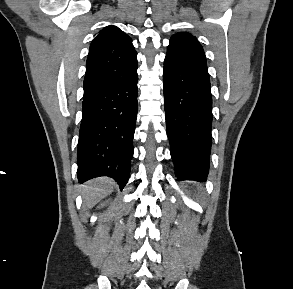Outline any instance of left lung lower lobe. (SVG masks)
I'll return each mask as SVG.
<instances>
[{"mask_svg": "<svg viewBox=\"0 0 293 289\" xmlns=\"http://www.w3.org/2000/svg\"><path fill=\"white\" fill-rule=\"evenodd\" d=\"M167 135L178 180L204 182L211 151L212 97L207 65L166 56Z\"/></svg>", "mask_w": 293, "mask_h": 289, "instance_id": "left-lung-lower-lobe-1", "label": "left lung lower lobe"}]
</instances>
